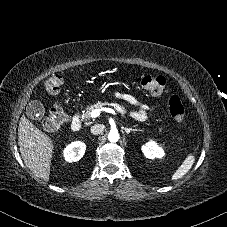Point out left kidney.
<instances>
[{"instance_id":"obj_1","label":"left kidney","mask_w":227,"mask_h":227,"mask_svg":"<svg viewBox=\"0 0 227 227\" xmlns=\"http://www.w3.org/2000/svg\"><path fill=\"white\" fill-rule=\"evenodd\" d=\"M142 152L149 159L162 158L164 156V150L158 146L155 141H149L142 146Z\"/></svg>"}]
</instances>
